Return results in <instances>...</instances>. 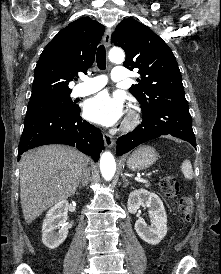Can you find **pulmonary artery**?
I'll return each mask as SVG.
<instances>
[{"mask_svg":"<svg viewBox=\"0 0 221 274\" xmlns=\"http://www.w3.org/2000/svg\"><path fill=\"white\" fill-rule=\"evenodd\" d=\"M127 78L126 69L123 67H115L111 73V79L115 82L124 81ZM107 83V79L103 75L95 77H85L82 79V83L77 85L74 90V96H86L95 93L102 89Z\"/></svg>","mask_w":221,"mask_h":274,"instance_id":"pulmonary-artery-1","label":"pulmonary artery"}]
</instances>
